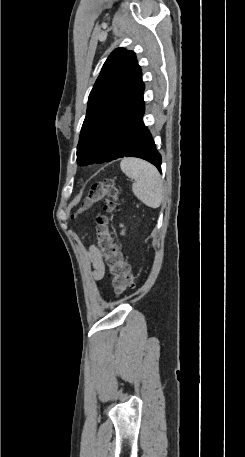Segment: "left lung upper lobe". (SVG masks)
<instances>
[{"instance_id":"5c2ea615","label":"left lung upper lobe","mask_w":245,"mask_h":457,"mask_svg":"<svg viewBox=\"0 0 245 457\" xmlns=\"http://www.w3.org/2000/svg\"><path fill=\"white\" fill-rule=\"evenodd\" d=\"M144 83L135 54L115 49L107 58L89 95L77 151L83 139L98 127H104L117 115L144 107Z\"/></svg>"}]
</instances>
